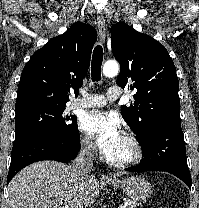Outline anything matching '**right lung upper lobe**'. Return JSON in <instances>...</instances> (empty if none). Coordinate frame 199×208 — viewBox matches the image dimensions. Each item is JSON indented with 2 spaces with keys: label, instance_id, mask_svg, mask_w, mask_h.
<instances>
[{
  "label": "right lung upper lobe",
  "instance_id": "right-lung-upper-lobe-1",
  "mask_svg": "<svg viewBox=\"0 0 199 208\" xmlns=\"http://www.w3.org/2000/svg\"><path fill=\"white\" fill-rule=\"evenodd\" d=\"M96 40L94 27L75 22L37 50L22 71L15 109L66 108L68 94L82 86Z\"/></svg>",
  "mask_w": 199,
  "mask_h": 208
}]
</instances>
